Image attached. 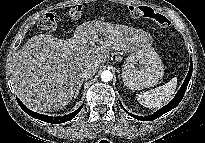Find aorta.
<instances>
[{
	"label": "aorta",
	"mask_w": 205,
	"mask_h": 143,
	"mask_svg": "<svg viewBox=\"0 0 205 143\" xmlns=\"http://www.w3.org/2000/svg\"><path fill=\"white\" fill-rule=\"evenodd\" d=\"M113 78V75L110 71L106 70L101 73V79L103 82H109Z\"/></svg>",
	"instance_id": "obj_1"
}]
</instances>
